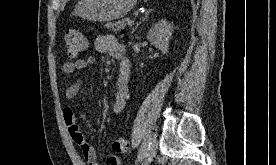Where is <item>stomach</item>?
Segmentation results:
<instances>
[{
  "instance_id": "1",
  "label": "stomach",
  "mask_w": 276,
  "mask_h": 165,
  "mask_svg": "<svg viewBox=\"0 0 276 165\" xmlns=\"http://www.w3.org/2000/svg\"><path fill=\"white\" fill-rule=\"evenodd\" d=\"M136 0H80L74 12L89 21L106 22L125 16Z\"/></svg>"
}]
</instances>
